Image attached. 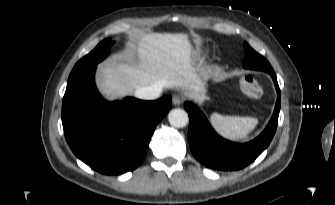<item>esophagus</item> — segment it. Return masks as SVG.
Listing matches in <instances>:
<instances>
[{
  "instance_id": "obj_1",
  "label": "esophagus",
  "mask_w": 335,
  "mask_h": 205,
  "mask_svg": "<svg viewBox=\"0 0 335 205\" xmlns=\"http://www.w3.org/2000/svg\"><path fill=\"white\" fill-rule=\"evenodd\" d=\"M182 103V98L179 95H174L173 96V104L175 106H179Z\"/></svg>"
}]
</instances>
